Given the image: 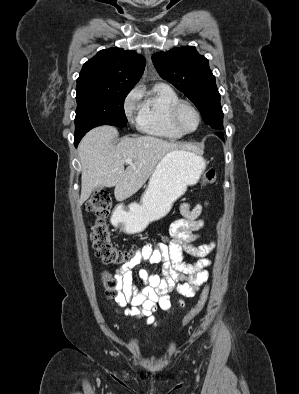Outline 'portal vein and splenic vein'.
Wrapping results in <instances>:
<instances>
[{
  "mask_svg": "<svg viewBox=\"0 0 299 394\" xmlns=\"http://www.w3.org/2000/svg\"><path fill=\"white\" fill-rule=\"evenodd\" d=\"M132 162H133V160L131 158H127L125 160V163H127V164H132Z\"/></svg>",
  "mask_w": 299,
  "mask_h": 394,
  "instance_id": "18ae733b",
  "label": "portal vein and splenic vein"
}]
</instances>
